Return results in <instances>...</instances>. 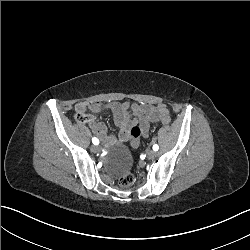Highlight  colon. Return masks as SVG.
<instances>
[{
  "label": "colon",
  "mask_w": 250,
  "mask_h": 250,
  "mask_svg": "<svg viewBox=\"0 0 250 250\" xmlns=\"http://www.w3.org/2000/svg\"><path fill=\"white\" fill-rule=\"evenodd\" d=\"M75 119L79 123H90L92 121V117L85 113V112H77L75 115ZM163 123L165 126H170L171 125V120L169 117H164L163 118ZM131 131V139L133 142V148L134 149H139L140 148V128L138 125L134 124L130 128ZM135 180V175L132 174L131 172H126L121 175V177L117 180V185L119 186L120 189H126V188H132L133 187V182Z\"/></svg>",
  "instance_id": "5ec220e1"
}]
</instances>
